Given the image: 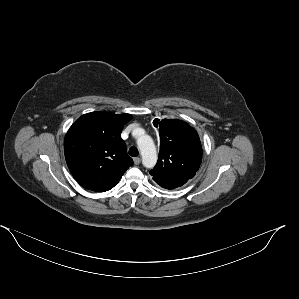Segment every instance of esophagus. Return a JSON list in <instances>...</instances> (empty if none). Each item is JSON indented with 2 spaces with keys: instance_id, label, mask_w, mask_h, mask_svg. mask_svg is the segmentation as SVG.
<instances>
[{
  "instance_id": "1",
  "label": "esophagus",
  "mask_w": 299,
  "mask_h": 299,
  "mask_svg": "<svg viewBox=\"0 0 299 299\" xmlns=\"http://www.w3.org/2000/svg\"><path fill=\"white\" fill-rule=\"evenodd\" d=\"M133 161H134V164H135V165H139L140 162H141V159H140L139 157H135V158L133 159Z\"/></svg>"
}]
</instances>
